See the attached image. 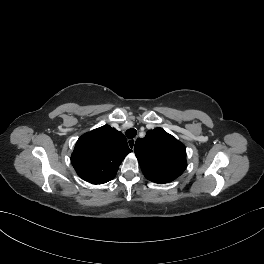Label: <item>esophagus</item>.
Here are the masks:
<instances>
[{"instance_id":"1","label":"esophagus","mask_w":264,"mask_h":264,"mask_svg":"<svg viewBox=\"0 0 264 264\" xmlns=\"http://www.w3.org/2000/svg\"><path fill=\"white\" fill-rule=\"evenodd\" d=\"M135 142H136V139H128V146L130 149H134V146H135Z\"/></svg>"}]
</instances>
